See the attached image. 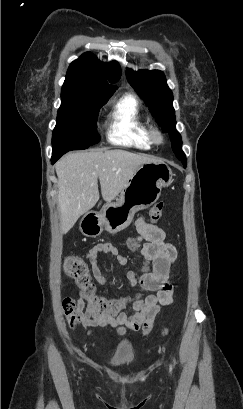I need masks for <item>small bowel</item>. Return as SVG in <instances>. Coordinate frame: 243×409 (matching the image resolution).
Here are the masks:
<instances>
[{"mask_svg": "<svg viewBox=\"0 0 243 409\" xmlns=\"http://www.w3.org/2000/svg\"><path fill=\"white\" fill-rule=\"evenodd\" d=\"M137 239L143 243L137 255L152 264V269L144 268L137 277L133 270L127 272V278L132 287H140L150 292L143 299L130 302L132 313H110L99 309L85 307L81 294L77 297V308L81 313L82 326L85 329L99 327L114 328L119 335L127 332H138L146 336L150 334L153 323L162 306L173 303L174 286L170 282V267L177 256L176 247L167 241L166 232L159 226L147 223L144 218L136 222ZM101 255H111L119 264L125 265L127 258L111 243L97 244L85 255L91 264L96 281L106 284L109 278L100 269ZM90 333V332H89Z\"/></svg>", "mask_w": 243, "mask_h": 409, "instance_id": "obj_1", "label": "small bowel"}]
</instances>
